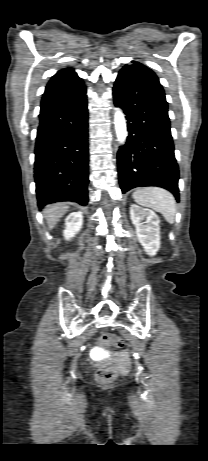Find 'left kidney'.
Instances as JSON below:
<instances>
[{
    "instance_id": "5707ae66",
    "label": "left kidney",
    "mask_w": 208,
    "mask_h": 461,
    "mask_svg": "<svg viewBox=\"0 0 208 461\" xmlns=\"http://www.w3.org/2000/svg\"><path fill=\"white\" fill-rule=\"evenodd\" d=\"M132 224L136 228V235L145 252L154 256L160 248V219L150 209L136 204L130 207Z\"/></svg>"
}]
</instances>
